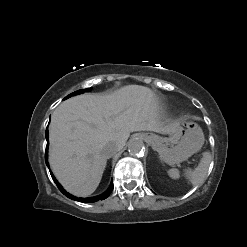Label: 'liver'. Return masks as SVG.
<instances>
[{
    "instance_id": "1",
    "label": "liver",
    "mask_w": 247,
    "mask_h": 247,
    "mask_svg": "<svg viewBox=\"0 0 247 247\" xmlns=\"http://www.w3.org/2000/svg\"><path fill=\"white\" fill-rule=\"evenodd\" d=\"M178 122L160 121L159 103L148 87L127 85L111 94H82L62 102L49 126V163L62 186L75 196L98 187L107 159L103 148L125 146L131 132L169 134Z\"/></svg>"
}]
</instances>
